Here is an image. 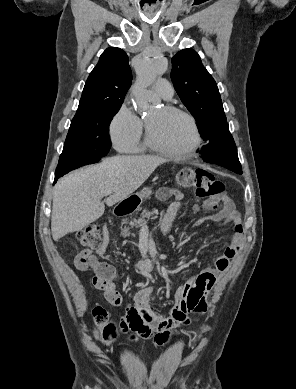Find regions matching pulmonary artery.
<instances>
[{
	"label": "pulmonary artery",
	"mask_w": 296,
	"mask_h": 389,
	"mask_svg": "<svg viewBox=\"0 0 296 389\" xmlns=\"http://www.w3.org/2000/svg\"><path fill=\"white\" fill-rule=\"evenodd\" d=\"M154 91L164 99H170L173 96V88L166 79H158L154 86Z\"/></svg>",
	"instance_id": "1"
}]
</instances>
